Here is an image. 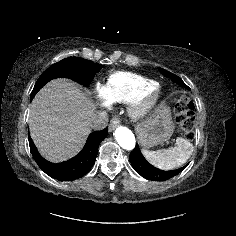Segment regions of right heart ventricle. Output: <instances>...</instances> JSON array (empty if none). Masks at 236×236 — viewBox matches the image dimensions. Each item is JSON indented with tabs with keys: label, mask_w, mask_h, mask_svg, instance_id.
<instances>
[{
	"label": "right heart ventricle",
	"mask_w": 236,
	"mask_h": 236,
	"mask_svg": "<svg viewBox=\"0 0 236 236\" xmlns=\"http://www.w3.org/2000/svg\"><path fill=\"white\" fill-rule=\"evenodd\" d=\"M157 85L145 76L131 72H115L111 74L105 84V99L109 104L130 103L144 91Z\"/></svg>",
	"instance_id": "1"
}]
</instances>
